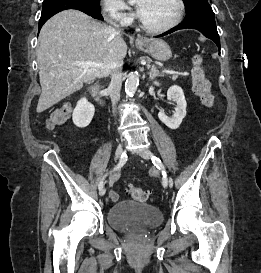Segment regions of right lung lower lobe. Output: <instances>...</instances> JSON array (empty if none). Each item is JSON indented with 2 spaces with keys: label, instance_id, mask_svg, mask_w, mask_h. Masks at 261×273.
<instances>
[{
  "label": "right lung lower lobe",
  "instance_id": "right-lung-lower-lobe-1",
  "mask_svg": "<svg viewBox=\"0 0 261 273\" xmlns=\"http://www.w3.org/2000/svg\"><path fill=\"white\" fill-rule=\"evenodd\" d=\"M65 7L64 9H60L57 11H54L52 13L49 14H41L40 20H39V30L41 29V27L43 26V24L53 15H55L56 13L65 10V9H77L80 10L84 13H86L89 16H92L93 18L96 19H100L103 20V17L101 15V11L98 9H95L93 7L88 6L84 0H70V2H66L65 3Z\"/></svg>",
  "mask_w": 261,
  "mask_h": 273
}]
</instances>
